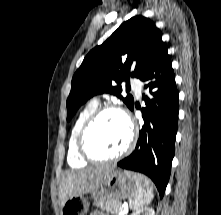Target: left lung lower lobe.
I'll return each mask as SVG.
<instances>
[{
  "instance_id": "obj_1",
  "label": "left lung lower lobe",
  "mask_w": 221,
  "mask_h": 215,
  "mask_svg": "<svg viewBox=\"0 0 221 215\" xmlns=\"http://www.w3.org/2000/svg\"><path fill=\"white\" fill-rule=\"evenodd\" d=\"M140 80L146 83L144 88L150 93L149 97L143 94L144 125L135 150L117 165L150 177L162 198L171 173L179 112V93L166 46L160 49Z\"/></svg>"
}]
</instances>
